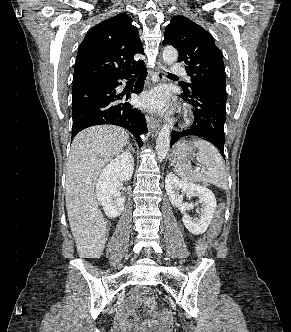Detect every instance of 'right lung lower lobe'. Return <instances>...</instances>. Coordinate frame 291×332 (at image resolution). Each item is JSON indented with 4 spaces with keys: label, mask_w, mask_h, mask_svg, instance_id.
<instances>
[{
    "label": "right lung lower lobe",
    "mask_w": 291,
    "mask_h": 332,
    "mask_svg": "<svg viewBox=\"0 0 291 332\" xmlns=\"http://www.w3.org/2000/svg\"><path fill=\"white\" fill-rule=\"evenodd\" d=\"M139 71L138 81L131 88V92L140 93L143 80L147 74L144 62L133 71L118 77H96L73 84L72 113L73 126L72 138L85 128L112 124L130 131L142 146L141 134L147 130L146 120L138 109L128 102L121 103L124 94H116L115 88L121 85L118 80L128 79L131 74ZM129 94L126 99L130 98Z\"/></svg>",
    "instance_id": "right-lung-lower-lobe-1"
}]
</instances>
